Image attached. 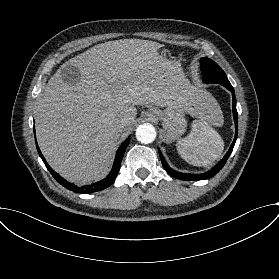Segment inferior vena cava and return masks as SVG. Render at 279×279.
Wrapping results in <instances>:
<instances>
[{
    "mask_svg": "<svg viewBox=\"0 0 279 279\" xmlns=\"http://www.w3.org/2000/svg\"><path fill=\"white\" fill-rule=\"evenodd\" d=\"M130 125V121L127 119L122 120L117 126V132H120L123 128Z\"/></svg>",
    "mask_w": 279,
    "mask_h": 279,
    "instance_id": "obj_1",
    "label": "inferior vena cava"
}]
</instances>
